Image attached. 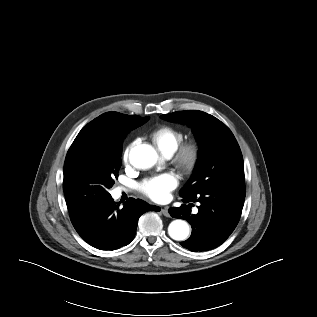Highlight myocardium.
<instances>
[{
	"instance_id": "myocardium-1",
	"label": "myocardium",
	"mask_w": 317,
	"mask_h": 317,
	"mask_svg": "<svg viewBox=\"0 0 317 317\" xmlns=\"http://www.w3.org/2000/svg\"><path fill=\"white\" fill-rule=\"evenodd\" d=\"M201 146L195 139L182 142L173 153V163L183 173H192L200 160Z\"/></svg>"
}]
</instances>
